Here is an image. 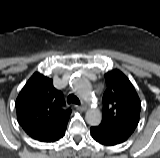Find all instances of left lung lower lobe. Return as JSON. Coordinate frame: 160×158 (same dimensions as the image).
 <instances>
[{
    "instance_id": "obj_1",
    "label": "left lung lower lobe",
    "mask_w": 160,
    "mask_h": 158,
    "mask_svg": "<svg viewBox=\"0 0 160 158\" xmlns=\"http://www.w3.org/2000/svg\"><path fill=\"white\" fill-rule=\"evenodd\" d=\"M91 136L95 141L106 146L121 144L129 138V136L111 130L101 124L99 126L91 127Z\"/></svg>"
}]
</instances>
